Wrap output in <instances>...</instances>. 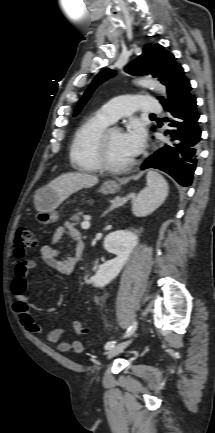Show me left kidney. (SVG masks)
I'll return each instance as SVG.
<instances>
[{"label": "left kidney", "mask_w": 215, "mask_h": 433, "mask_svg": "<svg viewBox=\"0 0 215 433\" xmlns=\"http://www.w3.org/2000/svg\"><path fill=\"white\" fill-rule=\"evenodd\" d=\"M137 242L138 235L131 231L120 230L108 234L104 240V247L108 252L115 254L116 257L99 265L90 283L95 287L102 288L115 279L124 267Z\"/></svg>", "instance_id": "5707ae66"}]
</instances>
